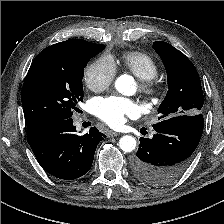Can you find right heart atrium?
<instances>
[{"label": "right heart atrium", "mask_w": 224, "mask_h": 224, "mask_svg": "<svg viewBox=\"0 0 224 224\" xmlns=\"http://www.w3.org/2000/svg\"><path fill=\"white\" fill-rule=\"evenodd\" d=\"M115 75L116 66L113 59L99 58L86 67L84 81L90 90L100 92L112 84Z\"/></svg>", "instance_id": "obj_1"}]
</instances>
